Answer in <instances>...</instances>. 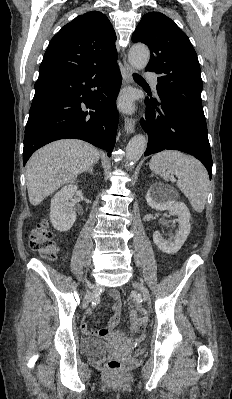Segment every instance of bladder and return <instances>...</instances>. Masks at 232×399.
Here are the masks:
<instances>
[{"instance_id": "1", "label": "bladder", "mask_w": 232, "mask_h": 399, "mask_svg": "<svg viewBox=\"0 0 232 399\" xmlns=\"http://www.w3.org/2000/svg\"><path fill=\"white\" fill-rule=\"evenodd\" d=\"M80 350L85 356L99 357L112 352L113 348L99 339L84 338L80 343Z\"/></svg>"}]
</instances>
